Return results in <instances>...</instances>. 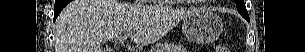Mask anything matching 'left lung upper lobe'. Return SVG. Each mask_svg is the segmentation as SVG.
I'll return each instance as SVG.
<instances>
[{"mask_svg":"<svg viewBox=\"0 0 305 52\" xmlns=\"http://www.w3.org/2000/svg\"><path fill=\"white\" fill-rule=\"evenodd\" d=\"M236 7L238 9V12L245 18V19H249V15L248 12L246 10L245 4H244V0H236Z\"/></svg>","mask_w":305,"mask_h":52,"instance_id":"left-lung-upper-lobe-1","label":"left lung upper lobe"}]
</instances>
